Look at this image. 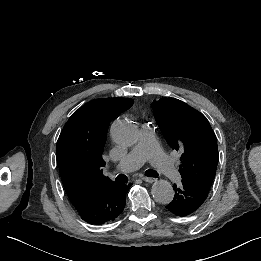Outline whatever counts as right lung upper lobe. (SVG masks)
<instances>
[{"instance_id": "1", "label": "right lung upper lobe", "mask_w": 261, "mask_h": 261, "mask_svg": "<svg viewBox=\"0 0 261 261\" xmlns=\"http://www.w3.org/2000/svg\"><path fill=\"white\" fill-rule=\"evenodd\" d=\"M133 102L129 98L92 100L76 110L63 127L57 141V162L63 186L75 208L95 190L112 183L102 173L108 127Z\"/></svg>"}]
</instances>
